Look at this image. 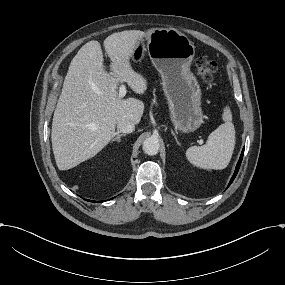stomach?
I'll list each match as a JSON object with an SVG mask.
<instances>
[{"label": "stomach", "mask_w": 285, "mask_h": 285, "mask_svg": "<svg viewBox=\"0 0 285 285\" xmlns=\"http://www.w3.org/2000/svg\"><path fill=\"white\" fill-rule=\"evenodd\" d=\"M144 51L160 74L171 123L181 133L195 132L204 123L201 87L190 68L195 46L176 29H153L132 60H140Z\"/></svg>", "instance_id": "stomach-1"}]
</instances>
